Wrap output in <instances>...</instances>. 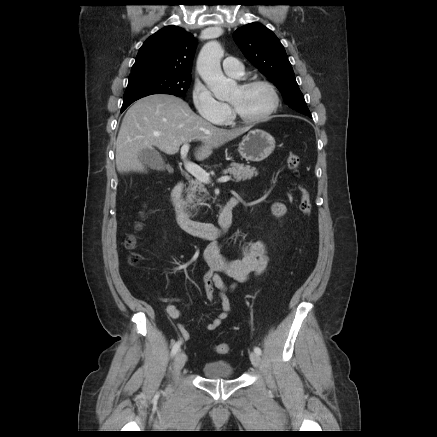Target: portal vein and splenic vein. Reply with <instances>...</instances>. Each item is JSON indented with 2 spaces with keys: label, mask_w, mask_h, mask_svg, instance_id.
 Wrapping results in <instances>:
<instances>
[{
  "label": "portal vein and splenic vein",
  "mask_w": 437,
  "mask_h": 437,
  "mask_svg": "<svg viewBox=\"0 0 437 437\" xmlns=\"http://www.w3.org/2000/svg\"><path fill=\"white\" fill-rule=\"evenodd\" d=\"M189 151V144L185 143L182 147H181V158L184 161V167L185 169L191 174L193 175L199 182L201 183H209L210 182V176L209 174L203 170L201 167H199L198 165L190 162L187 160V154ZM231 179V177L229 176H223L221 178L218 179L219 182H227Z\"/></svg>",
  "instance_id": "portal-vein-and-splenic-vein-1"
}]
</instances>
